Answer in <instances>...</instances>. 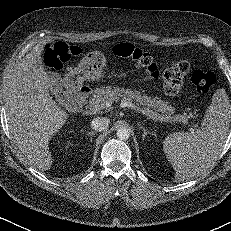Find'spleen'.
<instances>
[{"label": "spleen", "instance_id": "spleen-1", "mask_svg": "<svg viewBox=\"0 0 231 231\" xmlns=\"http://www.w3.org/2000/svg\"><path fill=\"white\" fill-rule=\"evenodd\" d=\"M230 119L228 96L219 90L197 131L175 132L166 137L163 150L176 172V179H192L212 166L226 142Z\"/></svg>", "mask_w": 231, "mask_h": 231}]
</instances>
